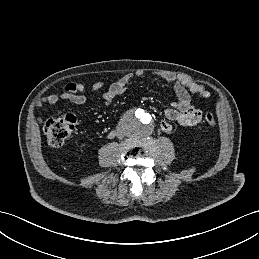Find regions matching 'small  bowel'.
<instances>
[{"label": "small bowel", "instance_id": "small-bowel-1", "mask_svg": "<svg viewBox=\"0 0 259 259\" xmlns=\"http://www.w3.org/2000/svg\"><path fill=\"white\" fill-rule=\"evenodd\" d=\"M136 75L142 77L145 75V72L144 70H138ZM155 75L164 79L171 86L176 96V101L164 111L165 119L160 124L161 130L165 133H170L173 130L172 122H177L187 127L198 125L202 119V112L191 103L190 93L202 98H209L210 92L206 87L186 75L175 74L169 71L157 72ZM132 77L133 74H126L112 83L102 94L104 103L110 104L116 97L122 95ZM103 86V82H96L92 87V91L98 92ZM61 100L77 105L84 104L87 101V96L84 94V86L80 83H68L63 87L60 94H50L43 97L38 102V106L45 104L55 105Z\"/></svg>", "mask_w": 259, "mask_h": 259}]
</instances>
